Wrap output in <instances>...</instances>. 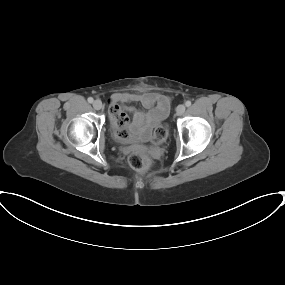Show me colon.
Here are the masks:
<instances>
[{
	"instance_id": "colon-1",
	"label": "colon",
	"mask_w": 285,
	"mask_h": 285,
	"mask_svg": "<svg viewBox=\"0 0 285 285\" xmlns=\"http://www.w3.org/2000/svg\"><path fill=\"white\" fill-rule=\"evenodd\" d=\"M116 126L120 136H124L126 134V128L124 120L122 118L118 119ZM167 132L168 131L165 125L162 124L158 125L153 132L154 140L156 142L163 141L167 136ZM128 163L131 168L137 171H146L150 169L152 165L151 159L148 156L139 152L131 153L128 158Z\"/></svg>"
}]
</instances>
